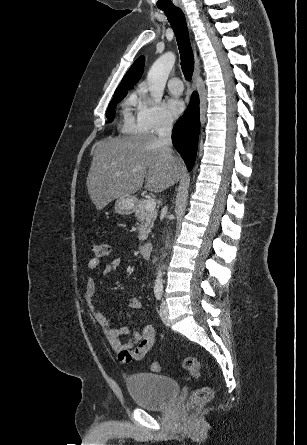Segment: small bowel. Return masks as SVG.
<instances>
[{
	"instance_id": "small-bowel-1",
	"label": "small bowel",
	"mask_w": 307,
	"mask_h": 445,
	"mask_svg": "<svg viewBox=\"0 0 307 445\" xmlns=\"http://www.w3.org/2000/svg\"><path fill=\"white\" fill-rule=\"evenodd\" d=\"M123 264V259L117 257L110 263L105 265L104 274L112 275ZM100 265L97 259H91L88 262V269L94 270ZM96 293V284L92 277L86 279L84 297L87 308L92 314L97 325L102 329L105 337L110 343L113 350L118 354V359L122 364H130L134 361H140L152 349L156 334L152 325H145L141 330L132 334L127 326L112 327L111 322L103 314L95 308L94 297ZM142 307V303L138 298H133L129 303L131 310H137ZM131 334V339L123 341V338Z\"/></svg>"
}]
</instances>
